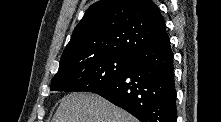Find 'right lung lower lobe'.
I'll list each match as a JSON object with an SVG mask.
<instances>
[{"label": "right lung lower lobe", "instance_id": "obj_1", "mask_svg": "<svg viewBox=\"0 0 221 122\" xmlns=\"http://www.w3.org/2000/svg\"><path fill=\"white\" fill-rule=\"evenodd\" d=\"M92 92L141 122H176L173 54L167 32L132 57L121 76Z\"/></svg>", "mask_w": 221, "mask_h": 122}]
</instances>
